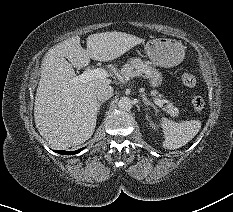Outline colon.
Masks as SVG:
<instances>
[{"instance_id":"5ec220e1","label":"colon","mask_w":233,"mask_h":212,"mask_svg":"<svg viewBox=\"0 0 233 212\" xmlns=\"http://www.w3.org/2000/svg\"><path fill=\"white\" fill-rule=\"evenodd\" d=\"M182 82L189 88H195L197 85L196 78L190 73H183L181 76ZM193 109L196 112H201L204 109L205 103L200 95H193L191 98Z\"/></svg>"}]
</instances>
